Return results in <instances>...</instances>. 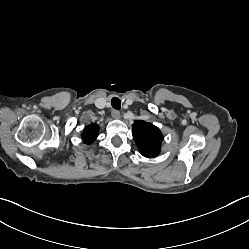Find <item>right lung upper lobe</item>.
<instances>
[{
    "instance_id": "cb5924a9",
    "label": "right lung upper lobe",
    "mask_w": 249,
    "mask_h": 249,
    "mask_svg": "<svg viewBox=\"0 0 249 249\" xmlns=\"http://www.w3.org/2000/svg\"><path fill=\"white\" fill-rule=\"evenodd\" d=\"M98 131L99 128L96 124H90L87 126L82 134L84 142L88 144L92 143L97 138Z\"/></svg>"
}]
</instances>
